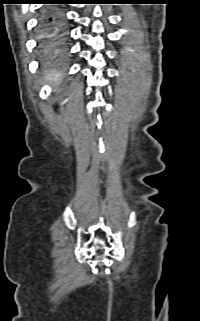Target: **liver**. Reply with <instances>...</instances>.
<instances>
[{"label": "liver", "mask_w": 200, "mask_h": 321, "mask_svg": "<svg viewBox=\"0 0 200 321\" xmlns=\"http://www.w3.org/2000/svg\"><path fill=\"white\" fill-rule=\"evenodd\" d=\"M61 77V75L57 72H49L47 75V80L48 81H53V80H58Z\"/></svg>", "instance_id": "1"}]
</instances>
